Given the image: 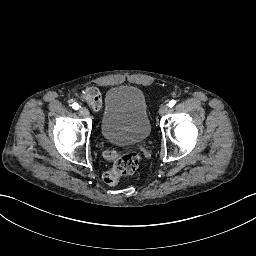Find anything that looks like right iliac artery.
<instances>
[{"label": "right iliac artery", "mask_w": 256, "mask_h": 256, "mask_svg": "<svg viewBox=\"0 0 256 256\" xmlns=\"http://www.w3.org/2000/svg\"><path fill=\"white\" fill-rule=\"evenodd\" d=\"M72 107L73 109L78 110L80 106L78 105V103H73Z\"/></svg>", "instance_id": "1"}]
</instances>
